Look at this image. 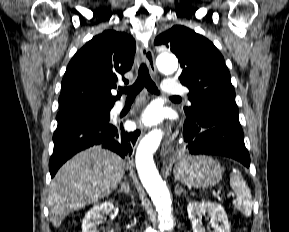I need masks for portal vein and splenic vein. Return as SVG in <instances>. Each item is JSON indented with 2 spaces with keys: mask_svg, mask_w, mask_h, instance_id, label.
<instances>
[{
  "mask_svg": "<svg viewBox=\"0 0 289 232\" xmlns=\"http://www.w3.org/2000/svg\"><path fill=\"white\" fill-rule=\"evenodd\" d=\"M226 196H227L228 198H233V197L235 196V194H234L233 192H228V193L226 194Z\"/></svg>",
  "mask_w": 289,
  "mask_h": 232,
  "instance_id": "obj_1",
  "label": "portal vein and splenic vein"
}]
</instances>
